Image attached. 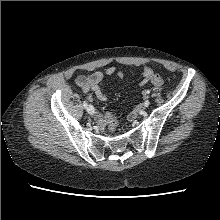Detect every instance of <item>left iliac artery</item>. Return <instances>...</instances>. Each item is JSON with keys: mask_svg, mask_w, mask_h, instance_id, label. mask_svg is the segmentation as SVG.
Masks as SVG:
<instances>
[{"mask_svg": "<svg viewBox=\"0 0 220 220\" xmlns=\"http://www.w3.org/2000/svg\"><path fill=\"white\" fill-rule=\"evenodd\" d=\"M145 93H146V94H149V93H150V90H146ZM144 104H145L146 106H149V104H150L149 100H146V101L144 102Z\"/></svg>", "mask_w": 220, "mask_h": 220, "instance_id": "1", "label": "left iliac artery"}]
</instances>
